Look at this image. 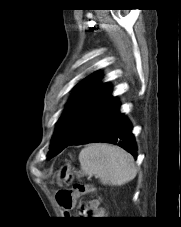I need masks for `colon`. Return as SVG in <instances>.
<instances>
[{"label": "colon", "instance_id": "1", "mask_svg": "<svg viewBox=\"0 0 181 227\" xmlns=\"http://www.w3.org/2000/svg\"><path fill=\"white\" fill-rule=\"evenodd\" d=\"M94 191L91 185L77 183L70 190H60L57 192L56 198L62 208L69 212L75 207L76 199L83 195L89 194Z\"/></svg>", "mask_w": 181, "mask_h": 227}]
</instances>
